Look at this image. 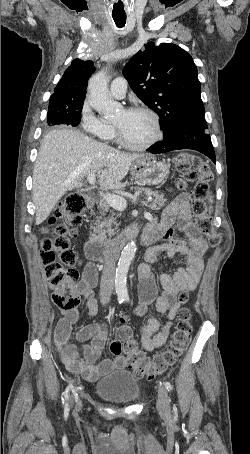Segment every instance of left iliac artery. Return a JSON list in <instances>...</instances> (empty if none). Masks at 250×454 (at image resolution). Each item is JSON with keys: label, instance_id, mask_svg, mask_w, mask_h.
I'll use <instances>...</instances> for the list:
<instances>
[{"label": "left iliac artery", "instance_id": "1", "mask_svg": "<svg viewBox=\"0 0 250 454\" xmlns=\"http://www.w3.org/2000/svg\"><path fill=\"white\" fill-rule=\"evenodd\" d=\"M126 301H129V298H126ZM164 386L166 387V389H167L169 392H171L172 389H173V386H172L171 383L168 382V381H165V382H164Z\"/></svg>", "mask_w": 250, "mask_h": 454}]
</instances>
